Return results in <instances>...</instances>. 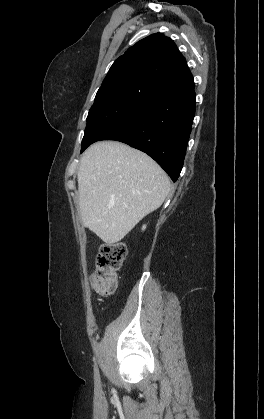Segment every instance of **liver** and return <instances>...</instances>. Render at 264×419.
Masks as SVG:
<instances>
[{
	"label": "liver",
	"mask_w": 264,
	"mask_h": 419,
	"mask_svg": "<svg viewBox=\"0 0 264 419\" xmlns=\"http://www.w3.org/2000/svg\"><path fill=\"white\" fill-rule=\"evenodd\" d=\"M77 180L82 224L107 244L121 241L170 190L167 174L152 158L116 141L91 145Z\"/></svg>",
	"instance_id": "6515ba94"
}]
</instances>
